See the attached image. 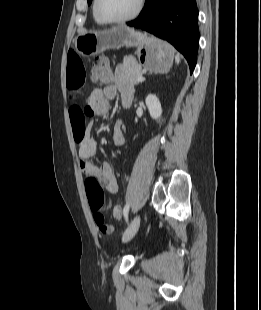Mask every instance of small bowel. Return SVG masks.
Listing matches in <instances>:
<instances>
[{"instance_id": "c3829d8e", "label": "small bowel", "mask_w": 261, "mask_h": 310, "mask_svg": "<svg viewBox=\"0 0 261 310\" xmlns=\"http://www.w3.org/2000/svg\"><path fill=\"white\" fill-rule=\"evenodd\" d=\"M85 84V66L80 56L71 51L68 53L66 86L71 93H76ZM134 93L133 85L126 78V69L123 65L117 66L114 82L107 85L103 91L95 90L91 94L89 104L85 110L77 105L70 109V120L73 128L74 139L77 144L79 166L87 178H95L110 194L118 191V181L110 163L97 166L93 162L96 151V141L92 134V122L85 124V117L102 115L108 111L109 100L120 94L121 99L130 98ZM113 142L115 146L124 143L122 122L116 121L113 127Z\"/></svg>"}]
</instances>
